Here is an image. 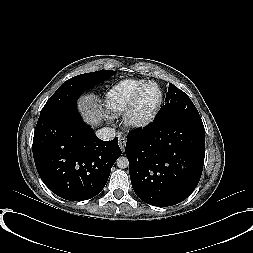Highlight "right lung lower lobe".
Instances as JSON below:
<instances>
[{
	"label": "right lung lower lobe",
	"instance_id": "obj_1",
	"mask_svg": "<svg viewBox=\"0 0 253 253\" xmlns=\"http://www.w3.org/2000/svg\"><path fill=\"white\" fill-rule=\"evenodd\" d=\"M120 155L118 139H99L82 121L76 102L38 119L35 165L46 186L63 199L83 201L99 194Z\"/></svg>",
	"mask_w": 253,
	"mask_h": 253
}]
</instances>
